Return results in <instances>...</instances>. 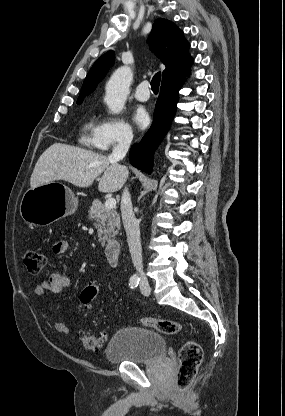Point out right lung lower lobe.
<instances>
[{
  "label": "right lung lower lobe",
  "instance_id": "obj_1",
  "mask_svg": "<svg viewBox=\"0 0 285 416\" xmlns=\"http://www.w3.org/2000/svg\"><path fill=\"white\" fill-rule=\"evenodd\" d=\"M188 74L189 72L161 85L152 126L130 150L129 159L136 168L149 174L152 172L154 152L171 125L179 100L178 91Z\"/></svg>",
  "mask_w": 285,
  "mask_h": 416
}]
</instances>
